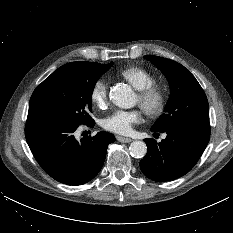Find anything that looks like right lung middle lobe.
<instances>
[{"label":"right lung middle lobe","instance_id":"obj_1","mask_svg":"<svg viewBox=\"0 0 233 233\" xmlns=\"http://www.w3.org/2000/svg\"><path fill=\"white\" fill-rule=\"evenodd\" d=\"M96 62H71L59 67L33 92L28 117H48L75 125L93 124L89 112L97 80L111 66Z\"/></svg>","mask_w":233,"mask_h":233}]
</instances>
